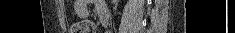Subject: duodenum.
I'll return each instance as SVG.
<instances>
[{
	"label": "duodenum",
	"instance_id": "duodenum-1",
	"mask_svg": "<svg viewBox=\"0 0 235 33\" xmlns=\"http://www.w3.org/2000/svg\"><path fill=\"white\" fill-rule=\"evenodd\" d=\"M101 22L106 25L108 23V15L101 16Z\"/></svg>",
	"mask_w": 235,
	"mask_h": 33
}]
</instances>
